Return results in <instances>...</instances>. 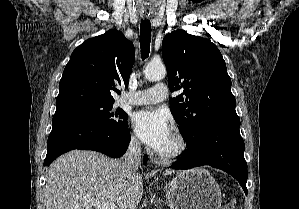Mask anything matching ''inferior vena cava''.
Returning <instances> with one entry per match:
<instances>
[{
  "label": "inferior vena cava",
  "mask_w": 299,
  "mask_h": 209,
  "mask_svg": "<svg viewBox=\"0 0 299 209\" xmlns=\"http://www.w3.org/2000/svg\"><path fill=\"white\" fill-rule=\"evenodd\" d=\"M141 155L140 143L136 139H132L121 160V166L128 177L136 175L141 166Z\"/></svg>",
  "instance_id": "inferior-vena-cava-1"
}]
</instances>
